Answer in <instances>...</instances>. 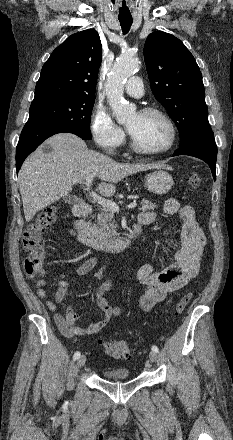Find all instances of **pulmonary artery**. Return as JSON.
I'll return each mask as SVG.
<instances>
[{
  "mask_svg": "<svg viewBox=\"0 0 233 440\" xmlns=\"http://www.w3.org/2000/svg\"><path fill=\"white\" fill-rule=\"evenodd\" d=\"M125 92L133 97H141L143 95V82L138 76L129 78L124 86Z\"/></svg>",
  "mask_w": 233,
  "mask_h": 440,
  "instance_id": "1",
  "label": "pulmonary artery"
}]
</instances>
